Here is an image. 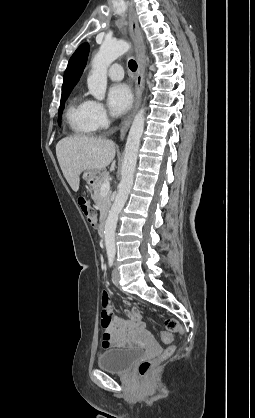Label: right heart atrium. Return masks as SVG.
I'll list each match as a JSON object with an SVG mask.
<instances>
[{
  "instance_id": "obj_1",
  "label": "right heart atrium",
  "mask_w": 255,
  "mask_h": 418,
  "mask_svg": "<svg viewBox=\"0 0 255 418\" xmlns=\"http://www.w3.org/2000/svg\"><path fill=\"white\" fill-rule=\"evenodd\" d=\"M90 114L95 129H103L108 125V114L102 103L91 101Z\"/></svg>"
}]
</instances>
